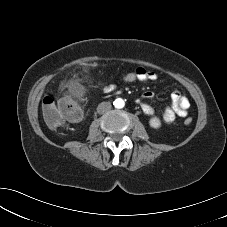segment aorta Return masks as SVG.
Instances as JSON below:
<instances>
[{"mask_svg": "<svg viewBox=\"0 0 227 227\" xmlns=\"http://www.w3.org/2000/svg\"><path fill=\"white\" fill-rule=\"evenodd\" d=\"M114 106H115V108H118V109H120V108H123L124 107V105H125V102H124V100L123 99H121V98H117L115 101H114Z\"/></svg>", "mask_w": 227, "mask_h": 227, "instance_id": "obj_1", "label": "aorta"}]
</instances>
